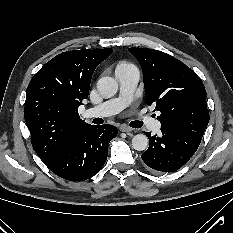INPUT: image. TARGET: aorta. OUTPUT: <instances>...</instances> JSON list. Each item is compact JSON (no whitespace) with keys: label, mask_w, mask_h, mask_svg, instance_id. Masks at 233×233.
Listing matches in <instances>:
<instances>
[{"label":"aorta","mask_w":233,"mask_h":233,"mask_svg":"<svg viewBox=\"0 0 233 233\" xmlns=\"http://www.w3.org/2000/svg\"><path fill=\"white\" fill-rule=\"evenodd\" d=\"M97 89L103 97L110 98L117 93L118 83L112 77H102L97 82ZM148 144L149 140L144 134H137L132 138V147L137 151L146 150Z\"/></svg>","instance_id":"762f6f07"}]
</instances>
